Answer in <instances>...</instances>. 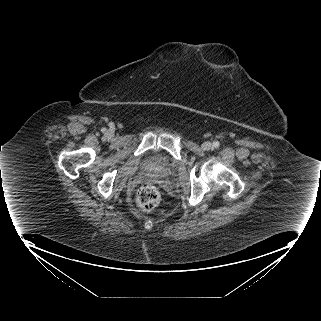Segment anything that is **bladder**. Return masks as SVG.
<instances>
[{
    "label": "bladder",
    "instance_id": "1",
    "mask_svg": "<svg viewBox=\"0 0 321 321\" xmlns=\"http://www.w3.org/2000/svg\"><path fill=\"white\" fill-rule=\"evenodd\" d=\"M145 171L156 176H165L170 172V164L158 158H149L144 164Z\"/></svg>",
    "mask_w": 321,
    "mask_h": 321
}]
</instances>
